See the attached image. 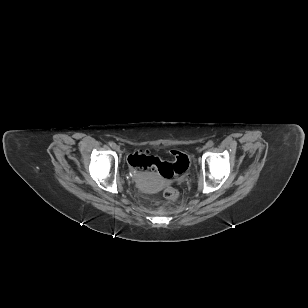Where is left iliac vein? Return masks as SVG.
Returning <instances> with one entry per match:
<instances>
[{
	"label": "left iliac vein",
	"mask_w": 308,
	"mask_h": 308,
	"mask_svg": "<svg viewBox=\"0 0 308 308\" xmlns=\"http://www.w3.org/2000/svg\"><path fill=\"white\" fill-rule=\"evenodd\" d=\"M207 147H208V146L206 145V146L203 147V149H206Z\"/></svg>",
	"instance_id": "left-iliac-vein-1"
}]
</instances>
